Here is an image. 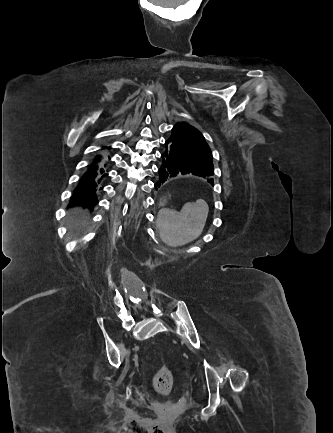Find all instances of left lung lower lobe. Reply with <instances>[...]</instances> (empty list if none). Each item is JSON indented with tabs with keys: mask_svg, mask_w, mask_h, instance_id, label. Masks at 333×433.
Here are the masks:
<instances>
[{
	"mask_svg": "<svg viewBox=\"0 0 333 433\" xmlns=\"http://www.w3.org/2000/svg\"><path fill=\"white\" fill-rule=\"evenodd\" d=\"M161 166L159 168L160 179L155 188H160L172 178L181 175H195L209 177L214 175L212 163L201 159L188 149L176 142L165 141V148L161 154ZM213 184V180H209Z\"/></svg>",
	"mask_w": 333,
	"mask_h": 433,
	"instance_id": "obj_1",
	"label": "left lung lower lobe"
}]
</instances>
